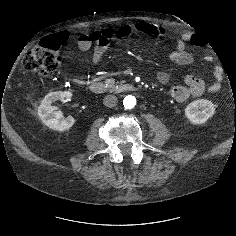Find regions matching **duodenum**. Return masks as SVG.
<instances>
[{
    "label": "duodenum",
    "mask_w": 236,
    "mask_h": 236,
    "mask_svg": "<svg viewBox=\"0 0 236 236\" xmlns=\"http://www.w3.org/2000/svg\"><path fill=\"white\" fill-rule=\"evenodd\" d=\"M89 89L94 94H104L108 92L109 90L117 92V93L131 92V91H135L136 87L132 84L121 83L112 88H109L102 82H93L90 84Z\"/></svg>",
    "instance_id": "duodenum-1"
}]
</instances>
